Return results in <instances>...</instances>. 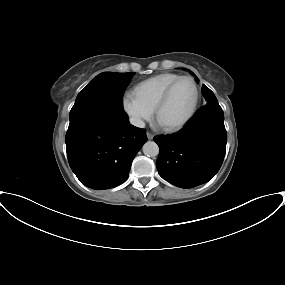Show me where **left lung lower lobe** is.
<instances>
[{"label":"left lung lower lobe","instance_id":"1","mask_svg":"<svg viewBox=\"0 0 285 285\" xmlns=\"http://www.w3.org/2000/svg\"><path fill=\"white\" fill-rule=\"evenodd\" d=\"M159 146L156 167L169 183L192 188L208 182L220 169L227 134L220 106H204L178 134L155 137Z\"/></svg>","mask_w":285,"mask_h":285}]
</instances>
